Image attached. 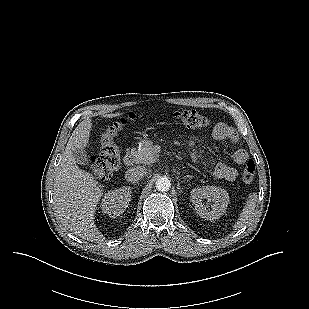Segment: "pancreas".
I'll return each mask as SVG.
<instances>
[{"mask_svg": "<svg viewBox=\"0 0 309 309\" xmlns=\"http://www.w3.org/2000/svg\"><path fill=\"white\" fill-rule=\"evenodd\" d=\"M135 162L138 164H151L156 162L159 157L151 141L145 140L140 143L139 148L135 151Z\"/></svg>", "mask_w": 309, "mask_h": 309, "instance_id": "cf45deb5", "label": "pancreas"}]
</instances>
